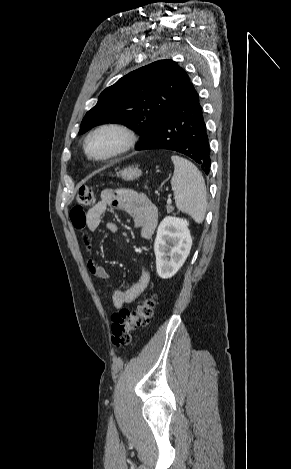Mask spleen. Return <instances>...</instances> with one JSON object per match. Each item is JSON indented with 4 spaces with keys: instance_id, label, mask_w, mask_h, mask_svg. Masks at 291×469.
Returning <instances> with one entry per match:
<instances>
[{
    "instance_id": "1",
    "label": "spleen",
    "mask_w": 291,
    "mask_h": 469,
    "mask_svg": "<svg viewBox=\"0 0 291 469\" xmlns=\"http://www.w3.org/2000/svg\"><path fill=\"white\" fill-rule=\"evenodd\" d=\"M174 173L172 190L178 210L188 214L200 224L205 218L207 193L204 178L198 168L189 160L172 156Z\"/></svg>"
}]
</instances>
